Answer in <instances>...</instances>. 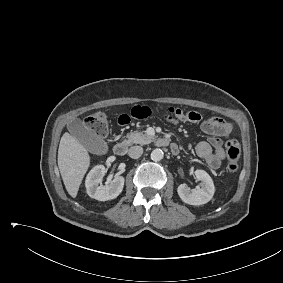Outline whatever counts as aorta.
Segmentation results:
<instances>
[{"label":"aorta","mask_w":283,"mask_h":283,"mask_svg":"<svg viewBox=\"0 0 283 283\" xmlns=\"http://www.w3.org/2000/svg\"><path fill=\"white\" fill-rule=\"evenodd\" d=\"M163 157H164V152L161 149L156 148L151 152V159L153 161H160L163 159Z\"/></svg>","instance_id":"1"}]
</instances>
